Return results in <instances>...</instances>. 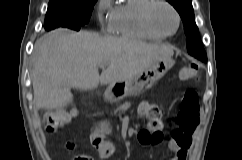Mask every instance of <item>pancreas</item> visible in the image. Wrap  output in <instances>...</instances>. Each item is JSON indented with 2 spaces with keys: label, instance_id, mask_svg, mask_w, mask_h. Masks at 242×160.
<instances>
[{
  "label": "pancreas",
  "instance_id": "cf45deb5",
  "mask_svg": "<svg viewBox=\"0 0 242 160\" xmlns=\"http://www.w3.org/2000/svg\"><path fill=\"white\" fill-rule=\"evenodd\" d=\"M129 107H130V103L126 102V103H124L123 105H121V106L119 107V110L122 111V112H124V111H126Z\"/></svg>",
  "mask_w": 242,
  "mask_h": 160
}]
</instances>
